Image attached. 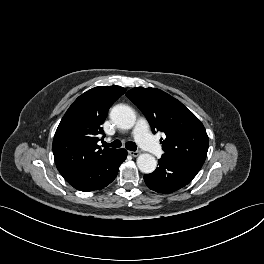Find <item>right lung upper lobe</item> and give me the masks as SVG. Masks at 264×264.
I'll return each mask as SVG.
<instances>
[{
  "mask_svg": "<svg viewBox=\"0 0 264 264\" xmlns=\"http://www.w3.org/2000/svg\"><path fill=\"white\" fill-rule=\"evenodd\" d=\"M126 89L119 86L95 87L69 107L53 140V154L57 169L66 179L103 159L115 149H101L103 124L111 105Z\"/></svg>",
  "mask_w": 264,
  "mask_h": 264,
  "instance_id": "cb5924a9",
  "label": "right lung upper lobe"
}]
</instances>
